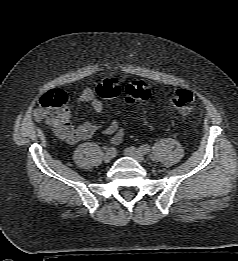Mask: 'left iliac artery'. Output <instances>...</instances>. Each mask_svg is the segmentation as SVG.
I'll return each instance as SVG.
<instances>
[{"label":"left iliac artery","instance_id":"44dca946","mask_svg":"<svg viewBox=\"0 0 238 261\" xmlns=\"http://www.w3.org/2000/svg\"><path fill=\"white\" fill-rule=\"evenodd\" d=\"M139 149L143 154H148L150 152V145L148 144L142 145L140 146Z\"/></svg>","mask_w":238,"mask_h":261}]
</instances>
